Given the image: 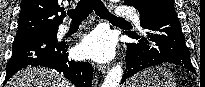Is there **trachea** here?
Masks as SVG:
<instances>
[{
	"label": "trachea",
	"mask_w": 205,
	"mask_h": 87,
	"mask_svg": "<svg viewBox=\"0 0 205 87\" xmlns=\"http://www.w3.org/2000/svg\"><path fill=\"white\" fill-rule=\"evenodd\" d=\"M92 11H95L100 18L107 19L110 22L126 21L124 18L111 14L101 0H80L75 9L68 10L67 14L72 19V22H82L87 19Z\"/></svg>",
	"instance_id": "3493384b"
}]
</instances>
